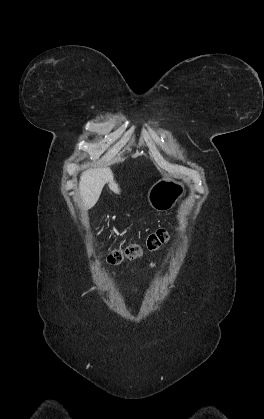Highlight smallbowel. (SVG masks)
I'll list each match as a JSON object with an SVG mask.
<instances>
[{
    "mask_svg": "<svg viewBox=\"0 0 264 419\" xmlns=\"http://www.w3.org/2000/svg\"><path fill=\"white\" fill-rule=\"evenodd\" d=\"M151 265H152V266H155V265H156V263H154V262H153V263H151Z\"/></svg>",
    "mask_w": 264,
    "mask_h": 419,
    "instance_id": "obj_1",
    "label": "small bowel"
}]
</instances>
